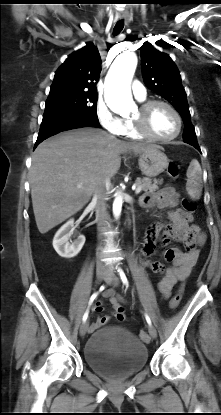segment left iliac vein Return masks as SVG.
Here are the masks:
<instances>
[{
  "mask_svg": "<svg viewBox=\"0 0 221 415\" xmlns=\"http://www.w3.org/2000/svg\"><path fill=\"white\" fill-rule=\"evenodd\" d=\"M105 280L107 284L112 285V286H118L119 284V278L116 275H114L112 272L108 273V276ZM148 331L152 338L155 339L157 337V331L152 325H149Z\"/></svg>",
  "mask_w": 221,
  "mask_h": 415,
  "instance_id": "4c4485c4",
  "label": "left iliac vein"
}]
</instances>
